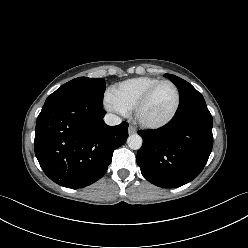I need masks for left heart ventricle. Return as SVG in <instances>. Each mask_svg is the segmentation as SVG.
<instances>
[{
	"instance_id": "obj_1",
	"label": "left heart ventricle",
	"mask_w": 248,
	"mask_h": 248,
	"mask_svg": "<svg viewBox=\"0 0 248 248\" xmlns=\"http://www.w3.org/2000/svg\"><path fill=\"white\" fill-rule=\"evenodd\" d=\"M175 105V92L168 84L155 90L142 111V117L149 122H160L167 118Z\"/></svg>"
}]
</instances>
